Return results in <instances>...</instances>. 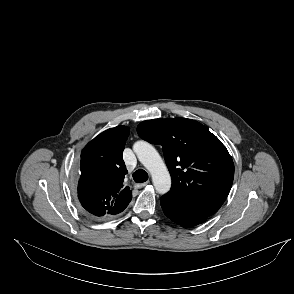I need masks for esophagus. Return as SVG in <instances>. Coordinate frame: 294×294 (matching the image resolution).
<instances>
[{
	"instance_id": "esophagus-1",
	"label": "esophagus",
	"mask_w": 294,
	"mask_h": 294,
	"mask_svg": "<svg viewBox=\"0 0 294 294\" xmlns=\"http://www.w3.org/2000/svg\"><path fill=\"white\" fill-rule=\"evenodd\" d=\"M148 184V182H144V183H140V184H135V188L136 189H140V188H143L144 186H146Z\"/></svg>"
}]
</instances>
